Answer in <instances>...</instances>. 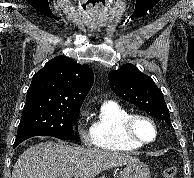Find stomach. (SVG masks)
<instances>
[{
    "label": "stomach",
    "instance_id": "stomach-1",
    "mask_svg": "<svg viewBox=\"0 0 194 178\" xmlns=\"http://www.w3.org/2000/svg\"><path fill=\"white\" fill-rule=\"evenodd\" d=\"M120 178H150V170L140 161L127 164L120 173Z\"/></svg>",
    "mask_w": 194,
    "mask_h": 178
}]
</instances>
